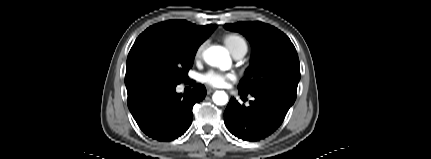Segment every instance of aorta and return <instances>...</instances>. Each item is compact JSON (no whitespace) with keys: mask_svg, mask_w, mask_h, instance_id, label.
<instances>
[{"mask_svg":"<svg viewBox=\"0 0 431 159\" xmlns=\"http://www.w3.org/2000/svg\"><path fill=\"white\" fill-rule=\"evenodd\" d=\"M204 60L211 66H225L230 62L228 52L220 46H213L204 52ZM213 102L217 105H225L228 102V95L224 91H216L213 94Z\"/></svg>","mask_w":431,"mask_h":159,"instance_id":"1","label":"aorta"}]
</instances>
